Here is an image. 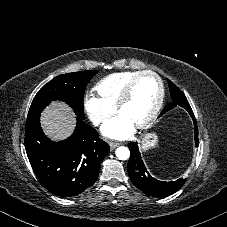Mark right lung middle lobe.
<instances>
[{
    "label": "right lung middle lobe",
    "instance_id": "obj_1",
    "mask_svg": "<svg viewBox=\"0 0 227 227\" xmlns=\"http://www.w3.org/2000/svg\"><path fill=\"white\" fill-rule=\"evenodd\" d=\"M98 71H81L62 74L45 84L35 95L27 120L40 116L43 109L51 101L59 100L66 102L79 117H84L83 97L88 81Z\"/></svg>",
    "mask_w": 227,
    "mask_h": 227
}]
</instances>
